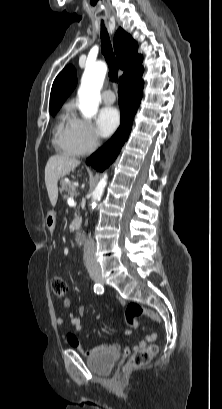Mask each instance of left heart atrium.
<instances>
[{"label":"left heart atrium","instance_id":"1","mask_svg":"<svg viewBox=\"0 0 222 409\" xmlns=\"http://www.w3.org/2000/svg\"><path fill=\"white\" fill-rule=\"evenodd\" d=\"M120 122L119 112L114 107H105L97 116V129L101 136H110L118 127Z\"/></svg>","mask_w":222,"mask_h":409}]
</instances>
